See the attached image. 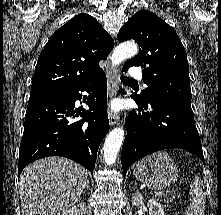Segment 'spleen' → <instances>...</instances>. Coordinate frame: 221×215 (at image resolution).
I'll return each mask as SVG.
<instances>
[{"label": "spleen", "instance_id": "spleen-1", "mask_svg": "<svg viewBox=\"0 0 221 215\" xmlns=\"http://www.w3.org/2000/svg\"><path fill=\"white\" fill-rule=\"evenodd\" d=\"M190 194L192 196L191 203L186 210L187 215H202L205 209L206 193L204 191V184L200 178H195L191 185Z\"/></svg>", "mask_w": 221, "mask_h": 215}]
</instances>
